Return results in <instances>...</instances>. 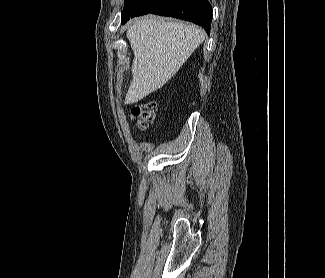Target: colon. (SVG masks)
<instances>
[{
    "label": "colon",
    "instance_id": "1",
    "mask_svg": "<svg viewBox=\"0 0 325 278\" xmlns=\"http://www.w3.org/2000/svg\"><path fill=\"white\" fill-rule=\"evenodd\" d=\"M154 102L134 106L131 109V118L140 128H146L154 119Z\"/></svg>",
    "mask_w": 325,
    "mask_h": 278
}]
</instances>
